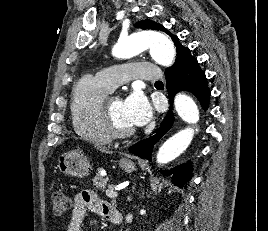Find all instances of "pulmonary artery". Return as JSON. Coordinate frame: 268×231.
Returning <instances> with one entry per match:
<instances>
[{
	"label": "pulmonary artery",
	"instance_id": "pulmonary-artery-1",
	"mask_svg": "<svg viewBox=\"0 0 268 231\" xmlns=\"http://www.w3.org/2000/svg\"><path fill=\"white\" fill-rule=\"evenodd\" d=\"M159 70L160 68L157 65L138 62L104 68L98 72L97 76L104 84L113 90L130 78H138L152 82L156 81L161 77Z\"/></svg>",
	"mask_w": 268,
	"mask_h": 231
}]
</instances>
